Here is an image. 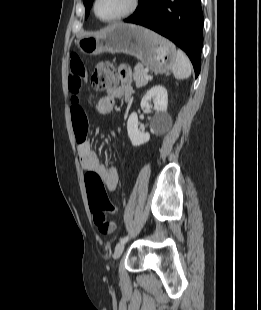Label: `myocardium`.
<instances>
[{"label": "myocardium", "mask_w": 261, "mask_h": 310, "mask_svg": "<svg viewBox=\"0 0 261 310\" xmlns=\"http://www.w3.org/2000/svg\"><path fill=\"white\" fill-rule=\"evenodd\" d=\"M98 2H99V0L93 1L92 9H93V13H94L95 17L103 23H115V22L124 20V19L130 17L131 15H133L139 7L140 0H130L129 7L123 13H121L120 15H117L113 18H109V19L102 18L98 14V12H97Z\"/></svg>", "instance_id": "1"}]
</instances>
